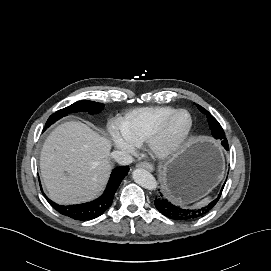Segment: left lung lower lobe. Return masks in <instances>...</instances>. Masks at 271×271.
Returning a JSON list of instances; mask_svg holds the SVG:
<instances>
[{"label": "left lung lower lobe", "instance_id": "0a47b994", "mask_svg": "<svg viewBox=\"0 0 271 271\" xmlns=\"http://www.w3.org/2000/svg\"><path fill=\"white\" fill-rule=\"evenodd\" d=\"M222 146L229 150L227 139L224 138L221 140ZM224 188V185L221 189V192ZM221 192L218 197L213 200L211 203L206 205L205 207L199 209H182L178 206H175L167 199L163 198L162 195L159 198H156L154 201L155 207L157 210L162 213L164 216L168 217L169 219L179 220V221H191L196 220L198 218L203 217L206 215L217 203L221 196Z\"/></svg>", "mask_w": 271, "mask_h": 271}]
</instances>
